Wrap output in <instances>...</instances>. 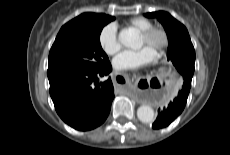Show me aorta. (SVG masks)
<instances>
[{
	"label": "aorta",
	"instance_id": "aorta-1",
	"mask_svg": "<svg viewBox=\"0 0 230 155\" xmlns=\"http://www.w3.org/2000/svg\"><path fill=\"white\" fill-rule=\"evenodd\" d=\"M137 35L128 29L119 33V41L126 47H132ZM137 117L142 123H152L155 118L154 110L149 105H141L137 110Z\"/></svg>",
	"mask_w": 230,
	"mask_h": 155
}]
</instances>
